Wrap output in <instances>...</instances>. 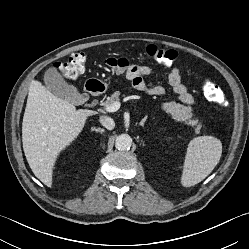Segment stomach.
Returning a JSON list of instances; mask_svg holds the SVG:
<instances>
[{
    "label": "stomach",
    "mask_w": 249,
    "mask_h": 249,
    "mask_svg": "<svg viewBox=\"0 0 249 249\" xmlns=\"http://www.w3.org/2000/svg\"><path fill=\"white\" fill-rule=\"evenodd\" d=\"M102 83V85L107 88L108 87V84L106 82H103V81H100Z\"/></svg>",
    "instance_id": "0dacf381"
}]
</instances>
